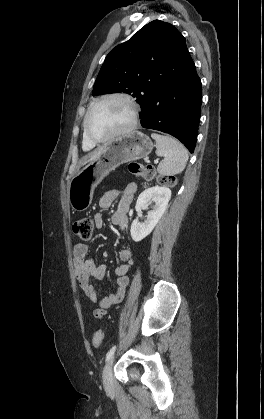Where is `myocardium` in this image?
Listing matches in <instances>:
<instances>
[{
  "label": "myocardium",
  "instance_id": "obj_1",
  "mask_svg": "<svg viewBox=\"0 0 264 419\" xmlns=\"http://www.w3.org/2000/svg\"><path fill=\"white\" fill-rule=\"evenodd\" d=\"M114 98H119L124 100L125 102L128 103V105L130 106L131 109V120L129 122V124L124 127L123 129L109 135L103 138H96L94 136L91 135V133L89 132V128H88V120L90 117V114L92 112V110L95 108L96 105H98L99 103L108 100V99H114ZM138 119H139V105L138 103L135 101V99L129 95L128 93L125 92H110V93H106L100 97H98L97 99H95L91 105L89 106L86 115L84 117L83 120V130H84V135L87 138V140L93 144H100V143H105V142H109L111 140L117 139L119 137H122L128 133H130L131 131H133L138 123Z\"/></svg>",
  "mask_w": 264,
  "mask_h": 419
}]
</instances>
